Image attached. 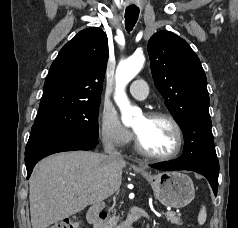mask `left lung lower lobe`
Returning <instances> with one entry per match:
<instances>
[{
    "instance_id": "obj_1",
    "label": "left lung lower lobe",
    "mask_w": 238,
    "mask_h": 228,
    "mask_svg": "<svg viewBox=\"0 0 238 228\" xmlns=\"http://www.w3.org/2000/svg\"><path fill=\"white\" fill-rule=\"evenodd\" d=\"M152 168L174 171V170H190L202 174L209 181L213 192L217 195L218 188V174H219V162H200L194 164L183 165L179 160L165 162L157 165H152Z\"/></svg>"
}]
</instances>
